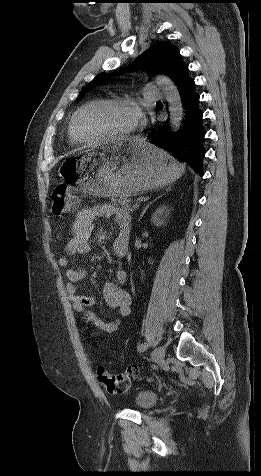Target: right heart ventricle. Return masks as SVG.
<instances>
[{
  "instance_id": "right-heart-ventricle-1",
  "label": "right heart ventricle",
  "mask_w": 261,
  "mask_h": 476,
  "mask_svg": "<svg viewBox=\"0 0 261 476\" xmlns=\"http://www.w3.org/2000/svg\"><path fill=\"white\" fill-rule=\"evenodd\" d=\"M68 139H69V142L73 145H77L79 142L75 139V137L73 136L72 134V131H71V126L69 125V128H68Z\"/></svg>"
}]
</instances>
